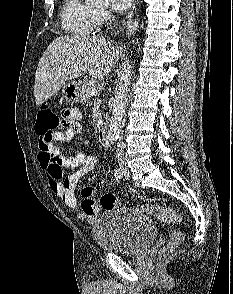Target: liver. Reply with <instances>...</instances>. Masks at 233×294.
Wrapping results in <instances>:
<instances>
[{"instance_id": "liver-1", "label": "liver", "mask_w": 233, "mask_h": 294, "mask_svg": "<svg viewBox=\"0 0 233 294\" xmlns=\"http://www.w3.org/2000/svg\"><path fill=\"white\" fill-rule=\"evenodd\" d=\"M120 50L99 37L64 36L53 40L42 55L35 73L37 106L54 96L65 82L88 73L107 75L119 59Z\"/></svg>"}]
</instances>
